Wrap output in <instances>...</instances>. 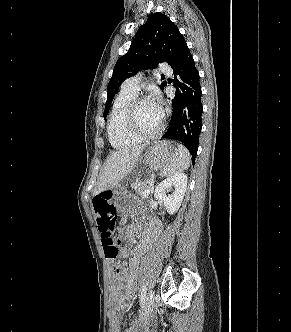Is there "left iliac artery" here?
Masks as SVG:
<instances>
[{"mask_svg":"<svg viewBox=\"0 0 291 332\" xmlns=\"http://www.w3.org/2000/svg\"><path fill=\"white\" fill-rule=\"evenodd\" d=\"M146 290H147V287H146V284H144V285L142 286V290H141V294H140V304H141V308H143V307H144V304H145Z\"/></svg>","mask_w":291,"mask_h":332,"instance_id":"44dca946","label":"left iliac artery"}]
</instances>
